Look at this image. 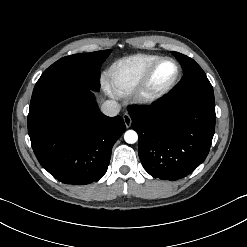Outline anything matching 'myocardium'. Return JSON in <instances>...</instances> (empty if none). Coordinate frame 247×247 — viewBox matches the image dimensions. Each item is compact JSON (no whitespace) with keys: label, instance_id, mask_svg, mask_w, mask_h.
<instances>
[{"label":"myocardium","instance_id":"myocardium-1","mask_svg":"<svg viewBox=\"0 0 247 247\" xmlns=\"http://www.w3.org/2000/svg\"><path fill=\"white\" fill-rule=\"evenodd\" d=\"M166 60L172 61L175 64L177 69L176 76L173 79V81L162 90L156 92H150L148 90V87L151 77L157 66L161 62ZM181 72H182L181 66L176 59L169 56L160 57L150 65V67L146 70V72L144 73L143 77L141 78L137 86L132 91V97L134 101L141 105H153L155 103L160 102L176 88L181 78Z\"/></svg>","mask_w":247,"mask_h":247}]
</instances>
